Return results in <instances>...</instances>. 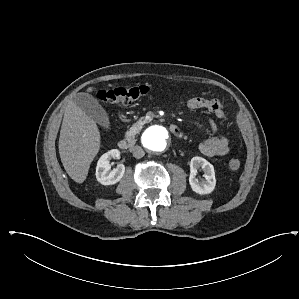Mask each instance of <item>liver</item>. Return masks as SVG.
I'll use <instances>...</instances> for the list:
<instances>
[{"label":"liver","mask_w":299,"mask_h":299,"mask_svg":"<svg viewBox=\"0 0 299 299\" xmlns=\"http://www.w3.org/2000/svg\"><path fill=\"white\" fill-rule=\"evenodd\" d=\"M87 91H93V87ZM100 143V132L95 121L71 101L66 107L61 126L59 154L64 169L75 182L85 181Z\"/></svg>","instance_id":"6515ba94"}]
</instances>
